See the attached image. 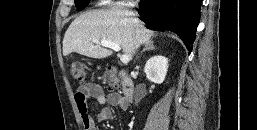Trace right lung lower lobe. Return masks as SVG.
I'll return each instance as SVG.
<instances>
[{
  "mask_svg": "<svg viewBox=\"0 0 257 130\" xmlns=\"http://www.w3.org/2000/svg\"><path fill=\"white\" fill-rule=\"evenodd\" d=\"M201 3L202 0H145L139 4L138 13L148 29L176 33L191 53Z\"/></svg>",
  "mask_w": 257,
  "mask_h": 130,
  "instance_id": "98d812e1",
  "label": "right lung lower lobe"
}]
</instances>
